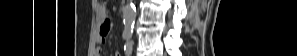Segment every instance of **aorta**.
<instances>
[{
	"mask_svg": "<svg viewBox=\"0 0 297 56\" xmlns=\"http://www.w3.org/2000/svg\"><path fill=\"white\" fill-rule=\"evenodd\" d=\"M135 18H136L135 5L131 2L127 4L123 10L124 30L126 33H129V34L132 33Z\"/></svg>",
	"mask_w": 297,
	"mask_h": 56,
	"instance_id": "762f6f07",
	"label": "aorta"
}]
</instances>
